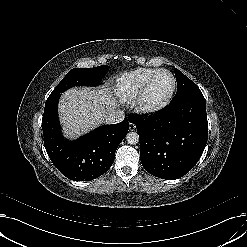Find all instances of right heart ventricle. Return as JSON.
I'll return each mask as SVG.
<instances>
[{
  "label": "right heart ventricle",
  "instance_id": "obj_1",
  "mask_svg": "<svg viewBox=\"0 0 247 247\" xmlns=\"http://www.w3.org/2000/svg\"><path fill=\"white\" fill-rule=\"evenodd\" d=\"M157 70L155 68H137L123 73L116 81V95L123 102L135 99Z\"/></svg>",
  "mask_w": 247,
  "mask_h": 247
}]
</instances>
